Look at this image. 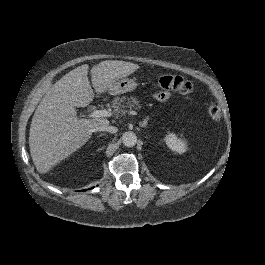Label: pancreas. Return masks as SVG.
Listing matches in <instances>:
<instances>
[{
	"instance_id": "cf45deb5",
	"label": "pancreas",
	"mask_w": 265,
	"mask_h": 265,
	"mask_svg": "<svg viewBox=\"0 0 265 265\" xmlns=\"http://www.w3.org/2000/svg\"><path fill=\"white\" fill-rule=\"evenodd\" d=\"M131 102H129V98L123 96V97H117L113 99V103L111 104V107L113 108L114 113H125L126 110H122L121 108H124V100H127L126 102V108L131 109L132 107L135 108L138 106V102L133 97L130 98Z\"/></svg>"
}]
</instances>
